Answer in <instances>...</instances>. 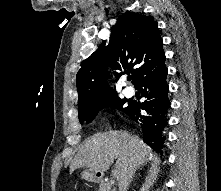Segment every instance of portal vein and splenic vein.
Returning a JSON list of instances; mask_svg holds the SVG:
<instances>
[{
    "instance_id": "portal-vein-and-splenic-vein-1",
    "label": "portal vein and splenic vein",
    "mask_w": 221,
    "mask_h": 191,
    "mask_svg": "<svg viewBox=\"0 0 221 191\" xmlns=\"http://www.w3.org/2000/svg\"><path fill=\"white\" fill-rule=\"evenodd\" d=\"M114 182H115L114 180H111V181H110V184L112 185V184H114Z\"/></svg>"
}]
</instances>
